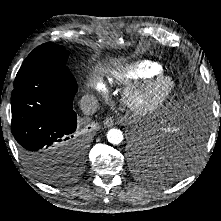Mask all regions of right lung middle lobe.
I'll return each mask as SVG.
<instances>
[{"instance_id":"obj_1","label":"right lung middle lobe","mask_w":221,"mask_h":221,"mask_svg":"<svg viewBox=\"0 0 221 221\" xmlns=\"http://www.w3.org/2000/svg\"><path fill=\"white\" fill-rule=\"evenodd\" d=\"M68 55L69 51L55 43L47 42L38 46L24 61L16 75L14 86L36 74L66 67Z\"/></svg>"}]
</instances>
